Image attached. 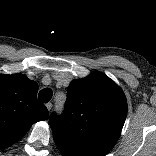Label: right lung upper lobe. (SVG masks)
<instances>
[{
  "mask_svg": "<svg viewBox=\"0 0 156 156\" xmlns=\"http://www.w3.org/2000/svg\"><path fill=\"white\" fill-rule=\"evenodd\" d=\"M38 84L24 75L0 74V148L20 140L49 113L37 100Z\"/></svg>",
  "mask_w": 156,
  "mask_h": 156,
  "instance_id": "right-lung-upper-lobe-1",
  "label": "right lung upper lobe"
}]
</instances>
